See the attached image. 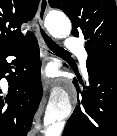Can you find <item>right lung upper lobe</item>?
<instances>
[{
  "mask_svg": "<svg viewBox=\"0 0 117 136\" xmlns=\"http://www.w3.org/2000/svg\"><path fill=\"white\" fill-rule=\"evenodd\" d=\"M40 0H0V53L16 47L32 34H24L20 28L31 20Z\"/></svg>",
  "mask_w": 117,
  "mask_h": 136,
  "instance_id": "right-lung-upper-lobe-1",
  "label": "right lung upper lobe"
}]
</instances>
